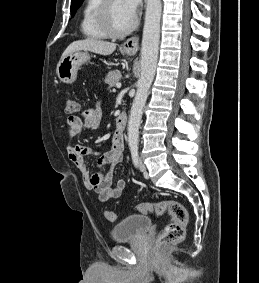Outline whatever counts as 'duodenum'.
<instances>
[{"instance_id":"410a0bca","label":"duodenum","mask_w":259,"mask_h":283,"mask_svg":"<svg viewBox=\"0 0 259 283\" xmlns=\"http://www.w3.org/2000/svg\"><path fill=\"white\" fill-rule=\"evenodd\" d=\"M127 126V116L125 114H121L116 119L115 131L117 134L122 135Z\"/></svg>"}]
</instances>
